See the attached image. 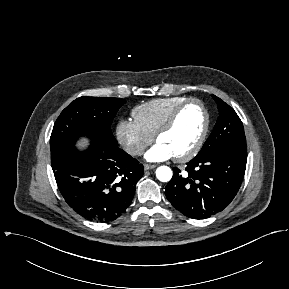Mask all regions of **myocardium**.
Segmentation results:
<instances>
[{"mask_svg":"<svg viewBox=\"0 0 289 289\" xmlns=\"http://www.w3.org/2000/svg\"><path fill=\"white\" fill-rule=\"evenodd\" d=\"M190 104H197L201 107V109L204 113V116H205L204 126H203L201 133H200V136L198 137V139H197L196 143L193 145V147L182 155L174 156V159L178 162H186V161L192 159L193 157H195L199 153V151L201 150V148L203 147V145L205 143V140H206V137L208 135L209 128H210V122H211L210 113H209L206 105L200 99H197V98L186 99L184 102L179 104L172 111V113L169 115V117L166 119V121L161 125V127L157 130V132L154 135L155 140L158 141L160 136L169 132L173 128V126L175 125L181 112Z\"/></svg>","mask_w":289,"mask_h":289,"instance_id":"f54148a6","label":"myocardium"}]
</instances>
